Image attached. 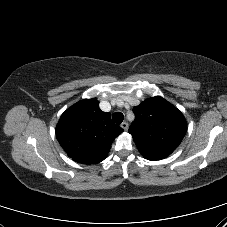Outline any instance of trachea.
<instances>
[{"label": "trachea", "instance_id": "3493384b", "mask_svg": "<svg viewBox=\"0 0 227 227\" xmlns=\"http://www.w3.org/2000/svg\"><path fill=\"white\" fill-rule=\"evenodd\" d=\"M112 119L115 123L120 124L124 119V115L121 112H116L113 114Z\"/></svg>", "mask_w": 227, "mask_h": 227}]
</instances>
